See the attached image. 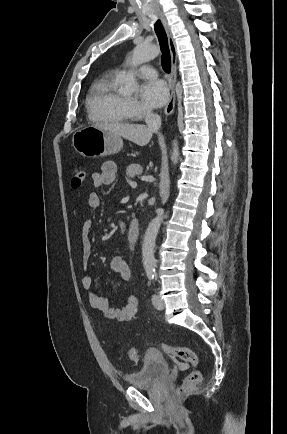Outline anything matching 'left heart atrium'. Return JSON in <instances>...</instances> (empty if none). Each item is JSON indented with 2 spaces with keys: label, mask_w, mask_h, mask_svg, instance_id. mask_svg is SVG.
I'll use <instances>...</instances> for the list:
<instances>
[{
  "label": "left heart atrium",
  "mask_w": 287,
  "mask_h": 434,
  "mask_svg": "<svg viewBox=\"0 0 287 434\" xmlns=\"http://www.w3.org/2000/svg\"><path fill=\"white\" fill-rule=\"evenodd\" d=\"M168 96V87L161 80L146 82L140 87L141 99L148 106L153 108L163 106L166 103Z\"/></svg>",
  "instance_id": "39dd6f15"
}]
</instances>
